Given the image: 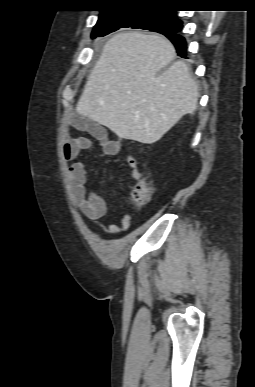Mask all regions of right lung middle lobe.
<instances>
[{"mask_svg": "<svg viewBox=\"0 0 255 387\" xmlns=\"http://www.w3.org/2000/svg\"><path fill=\"white\" fill-rule=\"evenodd\" d=\"M133 11L117 13H101L95 25L92 38L102 37L119 28H141L162 33L164 31H176L182 28V22L176 18L175 12L169 9H157L154 11Z\"/></svg>", "mask_w": 255, "mask_h": 387, "instance_id": "1", "label": "right lung middle lobe"}]
</instances>
